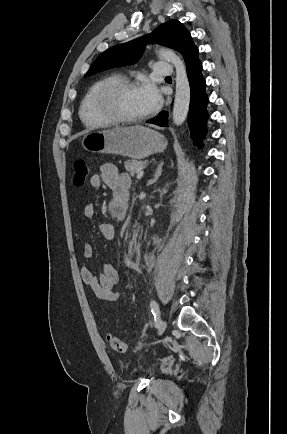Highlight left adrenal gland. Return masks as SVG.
Masks as SVG:
<instances>
[{"label": "left adrenal gland", "mask_w": 287, "mask_h": 434, "mask_svg": "<svg viewBox=\"0 0 287 434\" xmlns=\"http://www.w3.org/2000/svg\"><path fill=\"white\" fill-rule=\"evenodd\" d=\"M163 164H164L163 161L159 163L157 170L154 174V177L148 181L147 185H151L158 180V178L161 176V173H162Z\"/></svg>", "instance_id": "1"}]
</instances>
